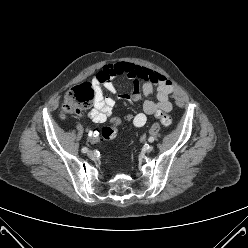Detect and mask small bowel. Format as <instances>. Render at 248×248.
<instances>
[{
  "instance_id": "obj_1",
  "label": "small bowel",
  "mask_w": 248,
  "mask_h": 248,
  "mask_svg": "<svg viewBox=\"0 0 248 248\" xmlns=\"http://www.w3.org/2000/svg\"><path fill=\"white\" fill-rule=\"evenodd\" d=\"M124 76L133 79V91L126 96L129 104L139 101L144 96L143 111L134 115L132 124L142 127L147 122L148 115L169 112L172 108L170 95L174 91L173 81L165 74L146 67L127 62H116L104 65L93 79V86L96 89L94 107L89 112V118L95 123H104L111 114L114 107V100L105 97L103 88L116 94L117 88L114 84L116 77ZM156 89L157 101L152 99Z\"/></svg>"
}]
</instances>
